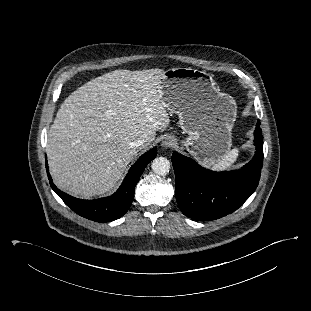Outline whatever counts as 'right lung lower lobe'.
<instances>
[{
    "instance_id": "right-lung-lower-lobe-1",
    "label": "right lung lower lobe",
    "mask_w": 311,
    "mask_h": 311,
    "mask_svg": "<svg viewBox=\"0 0 311 311\" xmlns=\"http://www.w3.org/2000/svg\"><path fill=\"white\" fill-rule=\"evenodd\" d=\"M156 152L157 150L153 148L139 158L130 168L121 187L115 194L97 200H81L60 191L52 182L47 161L46 171L52 189L74 212L96 222H109L120 218L128 211L133 201L135 186L144 168L156 157ZM45 158L47 159L46 156Z\"/></svg>"
}]
</instances>
